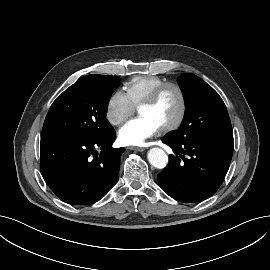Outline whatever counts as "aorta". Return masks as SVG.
Segmentation results:
<instances>
[{"label": "aorta", "mask_w": 270, "mask_h": 270, "mask_svg": "<svg viewBox=\"0 0 270 270\" xmlns=\"http://www.w3.org/2000/svg\"><path fill=\"white\" fill-rule=\"evenodd\" d=\"M148 161L149 163L157 168V169H163L166 167L168 163V156L166 155L165 151L161 148H151L148 152Z\"/></svg>", "instance_id": "aorta-1"}]
</instances>
